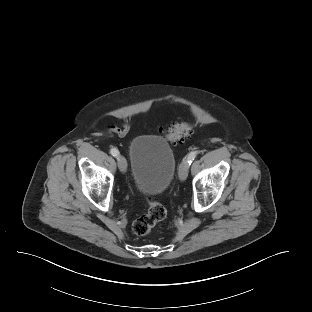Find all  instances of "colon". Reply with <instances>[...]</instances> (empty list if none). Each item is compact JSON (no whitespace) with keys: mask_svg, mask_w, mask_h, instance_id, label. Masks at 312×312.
Wrapping results in <instances>:
<instances>
[{"mask_svg":"<svg viewBox=\"0 0 312 312\" xmlns=\"http://www.w3.org/2000/svg\"><path fill=\"white\" fill-rule=\"evenodd\" d=\"M193 129V124L184 122L171 125L167 130L161 133L165 138L172 142H177L188 135ZM147 212L137 218L132 229L136 235L144 236L160 221L166 217L165 207L156 200L147 199Z\"/></svg>","mask_w":312,"mask_h":312,"instance_id":"5ec220e1","label":"colon"}]
</instances>
